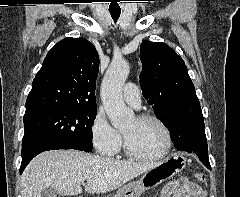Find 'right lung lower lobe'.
Wrapping results in <instances>:
<instances>
[{
  "mask_svg": "<svg viewBox=\"0 0 240 197\" xmlns=\"http://www.w3.org/2000/svg\"><path fill=\"white\" fill-rule=\"evenodd\" d=\"M56 149H72L66 145L59 144L57 142H45L42 144L27 145L22 147V163L20 167V174L23 172L28 163L39 153L47 150Z\"/></svg>",
  "mask_w": 240,
  "mask_h": 197,
  "instance_id": "right-lung-lower-lobe-1",
  "label": "right lung lower lobe"
}]
</instances>
